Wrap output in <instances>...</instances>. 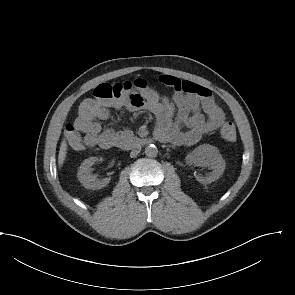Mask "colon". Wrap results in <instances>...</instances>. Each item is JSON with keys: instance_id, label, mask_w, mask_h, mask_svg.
<instances>
[{"instance_id": "1", "label": "colon", "mask_w": 295, "mask_h": 295, "mask_svg": "<svg viewBox=\"0 0 295 295\" xmlns=\"http://www.w3.org/2000/svg\"><path fill=\"white\" fill-rule=\"evenodd\" d=\"M150 89V85L138 79L133 82H124L116 84L103 83L99 84L93 91V98L85 99L80 107L79 114L88 115L93 108L98 104L110 103L113 100L119 99L132 92H140ZM221 137L228 142H233L236 139V128L231 122H225L220 129Z\"/></svg>"}]
</instances>
